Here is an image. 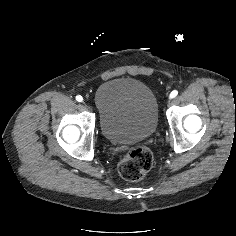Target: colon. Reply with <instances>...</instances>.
<instances>
[{
    "label": "colon",
    "mask_w": 236,
    "mask_h": 236,
    "mask_svg": "<svg viewBox=\"0 0 236 236\" xmlns=\"http://www.w3.org/2000/svg\"><path fill=\"white\" fill-rule=\"evenodd\" d=\"M153 164V154L146 147L129 151L119 162L118 171L122 178L136 182L141 180Z\"/></svg>",
    "instance_id": "1"
}]
</instances>
